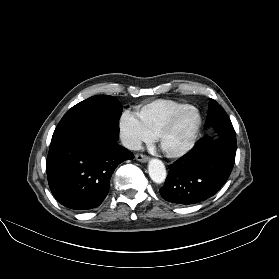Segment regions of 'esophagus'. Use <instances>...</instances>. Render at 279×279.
Here are the masks:
<instances>
[{
	"instance_id": "obj_1",
	"label": "esophagus",
	"mask_w": 279,
	"mask_h": 279,
	"mask_svg": "<svg viewBox=\"0 0 279 279\" xmlns=\"http://www.w3.org/2000/svg\"><path fill=\"white\" fill-rule=\"evenodd\" d=\"M135 158H136V160H138L140 162H147L148 161V157L143 155V154H136Z\"/></svg>"
}]
</instances>
